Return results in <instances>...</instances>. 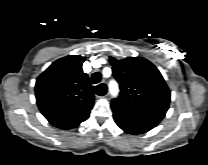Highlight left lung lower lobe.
<instances>
[{
	"instance_id": "left-lung-lower-lobe-1",
	"label": "left lung lower lobe",
	"mask_w": 208,
	"mask_h": 165,
	"mask_svg": "<svg viewBox=\"0 0 208 165\" xmlns=\"http://www.w3.org/2000/svg\"><path fill=\"white\" fill-rule=\"evenodd\" d=\"M113 118L116 122V124L126 133L129 134H143L145 132H148L151 130L152 126L141 124V123H136L132 122L126 119H123L122 117L113 115Z\"/></svg>"
}]
</instances>
